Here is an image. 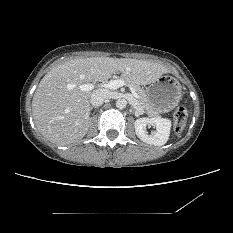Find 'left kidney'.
<instances>
[{
	"mask_svg": "<svg viewBox=\"0 0 233 233\" xmlns=\"http://www.w3.org/2000/svg\"><path fill=\"white\" fill-rule=\"evenodd\" d=\"M147 126H155L156 132L148 134ZM135 132L139 139L143 142L155 145L162 146L164 145L170 135L171 130V121L169 119L154 117V118H139L134 123Z\"/></svg>",
	"mask_w": 233,
	"mask_h": 233,
	"instance_id": "5707ae66",
	"label": "left kidney"
}]
</instances>
